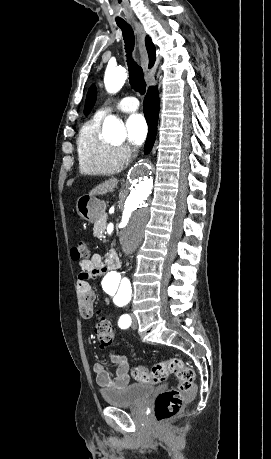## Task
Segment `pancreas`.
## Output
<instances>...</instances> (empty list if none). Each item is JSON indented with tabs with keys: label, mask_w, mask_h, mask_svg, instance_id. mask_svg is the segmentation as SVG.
I'll use <instances>...</instances> for the list:
<instances>
[{
	"label": "pancreas",
	"mask_w": 271,
	"mask_h": 459,
	"mask_svg": "<svg viewBox=\"0 0 271 459\" xmlns=\"http://www.w3.org/2000/svg\"><path fill=\"white\" fill-rule=\"evenodd\" d=\"M99 225H100V226H103V225H104V222H103V221H100V222H99ZM94 231H95V236H96L98 239H101V238L104 236V229H103L102 227L95 226Z\"/></svg>",
	"instance_id": "pancreas-1"
}]
</instances>
